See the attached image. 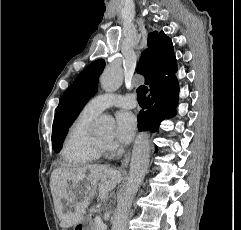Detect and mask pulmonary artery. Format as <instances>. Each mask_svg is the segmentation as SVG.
Wrapping results in <instances>:
<instances>
[{
	"label": "pulmonary artery",
	"mask_w": 241,
	"mask_h": 230,
	"mask_svg": "<svg viewBox=\"0 0 241 230\" xmlns=\"http://www.w3.org/2000/svg\"><path fill=\"white\" fill-rule=\"evenodd\" d=\"M136 105V99L133 94L119 95L114 93H103L89 100L84 110L91 114L98 115L112 106L134 108Z\"/></svg>",
	"instance_id": "obj_1"
}]
</instances>
